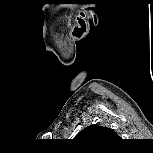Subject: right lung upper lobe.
I'll return each instance as SVG.
<instances>
[{
    "label": "right lung upper lobe",
    "mask_w": 153,
    "mask_h": 153,
    "mask_svg": "<svg viewBox=\"0 0 153 153\" xmlns=\"http://www.w3.org/2000/svg\"><path fill=\"white\" fill-rule=\"evenodd\" d=\"M118 138L119 136L113 129L91 125L84 128L74 139L81 143H96Z\"/></svg>",
    "instance_id": "obj_1"
}]
</instances>
